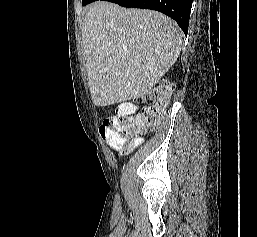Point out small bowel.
<instances>
[{
	"label": "small bowel",
	"mask_w": 257,
	"mask_h": 237,
	"mask_svg": "<svg viewBox=\"0 0 257 237\" xmlns=\"http://www.w3.org/2000/svg\"><path fill=\"white\" fill-rule=\"evenodd\" d=\"M136 105L131 102H124L119 106L118 113L121 115H129L135 112ZM142 138L136 137L130 142H122V143H110V146L115 150H121L123 153L127 154L131 152L134 148H136L139 144H141Z\"/></svg>",
	"instance_id": "c3829d8e"
}]
</instances>
